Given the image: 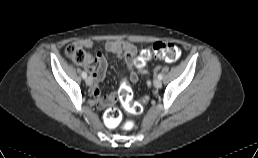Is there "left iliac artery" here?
<instances>
[{
    "label": "left iliac artery",
    "mask_w": 258,
    "mask_h": 158,
    "mask_svg": "<svg viewBox=\"0 0 258 158\" xmlns=\"http://www.w3.org/2000/svg\"><path fill=\"white\" fill-rule=\"evenodd\" d=\"M162 78H163V75H162L161 73H159V74H158V79H159V80H162Z\"/></svg>",
    "instance_id": "obj_1"
}]
</instances>
